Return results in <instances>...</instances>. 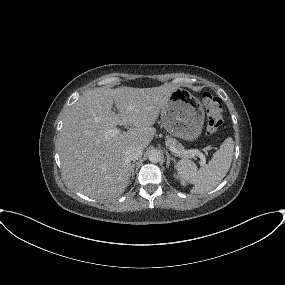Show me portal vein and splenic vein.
I'll list each match as a JSON object with an SVG mask.
<instances>
[{
    "mask_svg": "<svg viewBox=\"0 0 285 285\" xmlns=\"http://www.w3.org/2000/svg\"><path fill=\"white\" fill-rule=\"evenodd\" d=\"M120 132H121L120 129L113 128V129H110V130L106 133V136L114 137V136L118 135ZM169 150H170L171 152H173V153H179V151H178L176 148L172 147V146L169 147ZM186 153H190L191 155L198 156V157L201 159V165H205V163H206V158H205V156L203 155V153L200 152L199 150H197V149L188 150V151H186Z\"/></svg>",
    "mask_w": 285,
    "mask_h": 285,
    "instance_id": "portal-vein-and-splenic-vein-1",
    "label": "portal vein and splenic vein"
}]
</instances>
